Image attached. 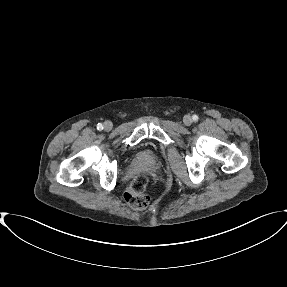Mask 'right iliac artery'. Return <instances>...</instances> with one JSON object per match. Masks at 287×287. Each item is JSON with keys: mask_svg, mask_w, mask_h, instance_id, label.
I'll use <instances>...</instances> for the list:
<instances>
[{"mask_svg": "<svg viewBox=\"0 0 287 287\" xmlns=\"http://www.w3.org/2000/svg\"><path fill=\"white\" fill-rule=\"evenodd\" d=\"M97 129H98V130H102V129H103V125H102L101 123H98V124H97Z\"/></svg>", "mask_w": 287, "mask_h": 287, "instance_id": "right-iliac-artery-1", "label": "right iliac artery"}]
</instances>
